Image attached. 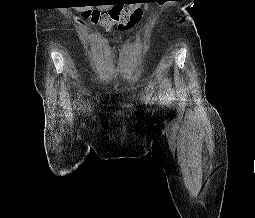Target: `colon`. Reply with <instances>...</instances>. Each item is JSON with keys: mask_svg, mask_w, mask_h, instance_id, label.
<instances>
[{"mask_svg": "<svg viewBox=\"0 0 255 218\" xmlns=\"http://www.w3.org/2000/svg\"><path fill=\"white\" fill-rule=\"evenodd\" d=\"M136 3V0H131L109 11L87 10L83 17L106 29L117 27L120 31H125L134 27L142 18V10Z\"/></svg>", "mask_w": 255, "mask_h": 218, "instance_id": "5ec220e1", "label": "colon"}]
</instances>
